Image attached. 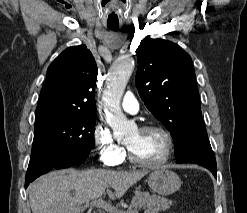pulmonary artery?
<instances>
[{
    "instance_id": "obj_1",
    "label": "pulmonary artery",
    "mask_w": 247,
    "mask_h": 213,
    "mask_svg": "<svg viewBox=\"0 0 247 213\" xmlns=\"http://www.w3.org/2000/svg\"><path fill=\"white\" fill-rule=\"evenodd\" d=\"M122 108L130 114H136L139 111V104L135 96L131 92H127L123 98Z\"/></svg>"
}]
</instances>
